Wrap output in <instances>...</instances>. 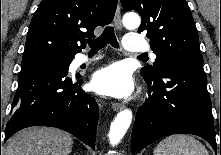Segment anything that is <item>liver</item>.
I'll use <instances>...</instances> for the list:
<instances>
[{
	"label": "liver",
	"instance_id": "liver-1",
	"mask_svg": "<svg viewBox=\"0 0 221 155\" xmlns=\"http://www.w3.org/2000/svg\"><path fill=\"white\" fill-rule=\"evenodd\" d=\"M73 139L65 131L49 127H31L13 135L3 155H69Z\"/></svg>",
	"mask_w": 221,
	"mask_h": 155
}]
</instances>
